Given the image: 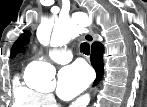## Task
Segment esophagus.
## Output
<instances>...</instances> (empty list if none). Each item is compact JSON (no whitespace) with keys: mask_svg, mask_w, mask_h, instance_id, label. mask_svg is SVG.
I'll return each mask as SVG.
<instances>
[{"mask_svg":"<svg viewBox=\"0 0 147 107\" xmlns=\"http://www.w3.org/2000/svg\"><path fill=\"white\" fill-rule=\"evenodd\" d=\"M83 38L89 43L92 44L95 40L94 36L91 32H85Z\"/></svg>","mask_w":147,"mask_h":107,"instance_id":"34e87169","label":"esophagus"}]
</instances>
